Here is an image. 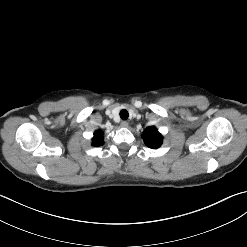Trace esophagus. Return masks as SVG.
<instances>
[{
  "label": "esophagus",
  "mask_w": 247,
  "mask_h": 247,
  "mask_svg": "<svg viewBox=\"0 0 247 247\" xmlns=\"http://www.w3.org/2000/svg\"><path fill=\"white\" fill-rule=\"evenodd\" d=\"M128 122L127 121H122L121 122V127H123V128H126V127H128Z\"/></svg>",
  "instance_id": "1"
}]
</instances>
